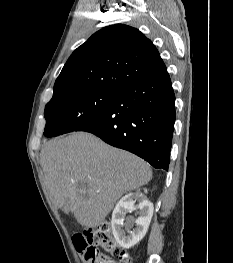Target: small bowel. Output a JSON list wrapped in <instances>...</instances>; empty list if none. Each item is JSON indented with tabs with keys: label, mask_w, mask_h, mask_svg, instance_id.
<instances>
[{
	"label": "small bowel",
	"mask_w": 233,
	"mask_h": 263,
	"mask_svg": "<svg viewBox=\"0 0 233 263\" xmlns=\"http://www.w3.org/2000/svg\"><path fill=\"white\" fill-rule=\"evenodd\" d=\"M107 263H117L114 259L109 258Z\"/></svg>",
	"instance_id": "1"
}]
</instances>
